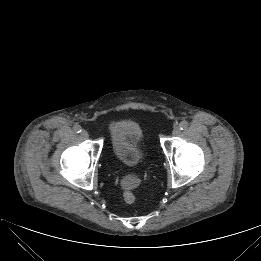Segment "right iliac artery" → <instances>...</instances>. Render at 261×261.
Masks as SVG:
<instances>
[{
	"instance_id": "right-iliac-artery-1",
	"label": "right iliac artery",
	"mask_w": 261,
	"mask_h": 261,
	"mask_svg": "<svg viewBox=\"0 0 261 261\" xmlns=\"http://www.w3.org/2000/svg\"><path fill=\"white\" fill-rule=\"evenodd\" d=\"M74 131H75L76 133H80V132L82 131L81 126H80V125H75V126H74Z\"/></svg>"
}]
</instances>
